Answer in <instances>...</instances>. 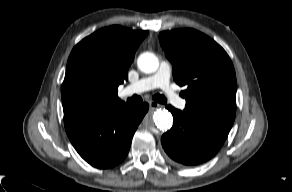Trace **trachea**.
I'll return each mask as SVG.
<instances>
[{
	"instance_id": "obj_1",
	"label": "trachea",
	"mask_w": 292,
	"mask_h": 192,
	"mask_svg": "<svg viewBox=\"0 0 292 192\" xmlns=\"http://www.w3.org/2000/svg\"><path fill=\"white\" fill-rule=\"evenodd\" d=\"M152 99L158 103L165 104L167 103L166 98L163 95L155 94ZM129 103H140L142 102V98L138 95H133L131 98L127 100Z\"/></svg>"
}]
</instances>
